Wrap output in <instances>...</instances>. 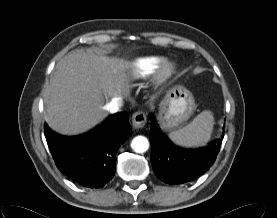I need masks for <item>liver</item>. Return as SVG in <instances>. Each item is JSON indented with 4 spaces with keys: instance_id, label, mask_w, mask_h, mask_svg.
Returning <instances> with one entry per match:
<instances>
[{
    "instance_id": "6515ba94",
    "label": "liver",
    "mask_w": 277,
    "mask_h": 218,
    "mask_svg": "<svg viewBox=\"0 0 277 218\" xmlns=\"http://www.w3.org/2000/svg\"><path fill=\"white\" fill-rule=\"evenodd\" d=\"M128 63L93 50L68 53L56 66L46 101V121L55 131L75 135L105 119L109 99L129 93Z\"/></svg>"
}]
</instances>
